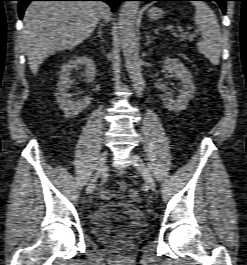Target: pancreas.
Segmentation results:
<instances>
[{
    "label": "pancreas",
    "instance_id": "obj_1",
    "mask_svg": "<svg viewBox=\"0 0 247 265\" xmlns=\"http://www.w3.org/2000/svg\"><path fill=\"white\" fill-rule=\"evenodd\" d=\"M178 37L180 38V41H184L185 39L192 40L194 38L193 35H189L187 33H183V34L179 35Z\"/></svg>",
    "mask_w": 247,
    "mask_h": 265
}]
</instances>
